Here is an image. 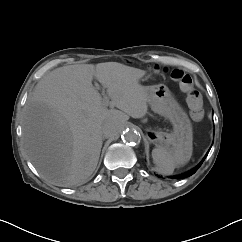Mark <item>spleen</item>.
I'll use <instances>...</instances> for the list:
<instances>
[{"mask_svg":"<svg viewBox=\"0 0 242 242\" xmlns=\"http://www.w3.org/2000/svg\"><path fill=\"white\" fill-rule=\"evenodd\" d=\"M180 156L181 152L178 151L171 152L161 148L152 150V157L157 172L165 175L172 174L177 165H183L187 162L180 159Z\"/></svg>","mask_w":242,"mask_h":242,"instance_id":"obj_1","label":"spleen"}]
</instances>
